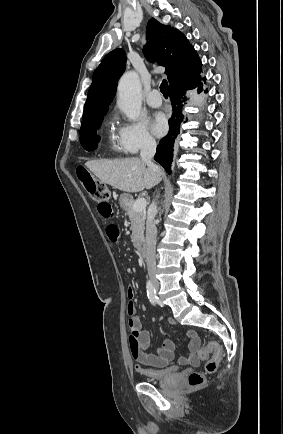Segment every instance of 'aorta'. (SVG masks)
<instances>
[{"mask_svg":"<svg viewBox=\"0 0 283 434\" xmlns=\"http://www.w3.org/2000/svg\"><path fill=\"white\" fill-rule=\"evenodd\" d=\"M119 109L130 119H138L141 106V84L139 76L134 71L126 72L118 83V100Z\"/></svg>","mask_w":283,"mask_h":434,"instance_id":"762f6f07","label":"aorta"}]
</instances>
